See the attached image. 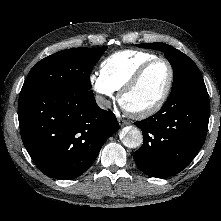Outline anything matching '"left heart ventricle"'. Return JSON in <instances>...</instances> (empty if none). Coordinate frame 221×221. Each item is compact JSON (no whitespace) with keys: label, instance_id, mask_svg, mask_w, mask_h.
<instances>
[{"label":"left heart ventricle","instance_id":"1","mask_svg":"<svg viewBox=\"0 0 221 221\" xmlns=\"http://www.w3.org/2000/svg\"><path fill=\"white\" fill-rule=\"evenodd\" d=\"M169 79V69L163 62L152 65L138 84L128 92L122 105L128 110H140L153 105L163 94Z\"/></svg>","mask_w":221,"mask_h":221}]
</instances>
